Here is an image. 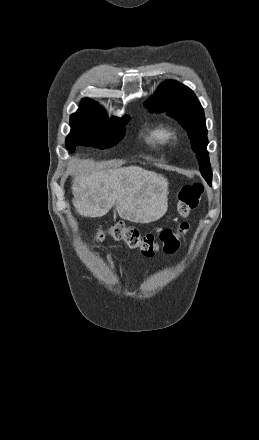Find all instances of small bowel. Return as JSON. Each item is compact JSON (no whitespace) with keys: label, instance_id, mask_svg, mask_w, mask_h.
<instances>
[{"label":"small bowel","instance_id":"1","mask_svg":"<svg viewBox=\"0 0 259 440\" xmlns=\"http://www.w3.org/2000/svg\"><path fill=\"white\" fill-rule=\"evenodd\" d=\"M106 259H107V261H108V264H109L110 268H111L113 271H115L114 260H113V257H112V253H111L110 251H108V252L106 253Z\"/></svg>","mask_w":259,"mask_h":440}]
</instances>
